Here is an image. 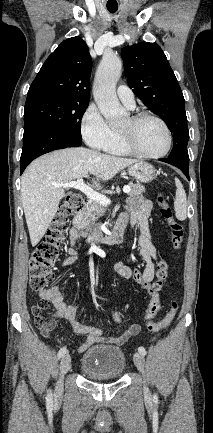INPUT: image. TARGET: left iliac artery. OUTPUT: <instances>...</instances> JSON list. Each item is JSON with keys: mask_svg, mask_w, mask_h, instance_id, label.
I'll list each match as a JSON object with an SVG mask.
<instances>
[{"mask_svg": "<svg viewBox=\"0 0 213 433\" xmlns=\"http://www.w3.org/2000/svg\"><path fill=\"white\" fill-rule=\"evenodd\" d=\"M138 351H139V353H141L142 355H146V350H145L144 347L140 346V347L138 348ZM154 398L156 399L157 396L154 395Z\"/></svg>", "mask_w": 213, "mask_h": 433, "instance_id": "44dca946", "label": "left iliac artery"}]
</instances>
